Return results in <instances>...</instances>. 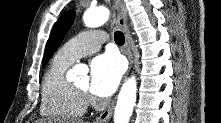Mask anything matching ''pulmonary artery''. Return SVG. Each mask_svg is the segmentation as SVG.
Segmentation results:
<instances>
[{
  "label": "pulmonary artery",
  "mask_w": 221,
  "mask_h": 123,
  "mask_svg": "<svg viewBox=\"0 0 221 123\" xmlns=\"http://www.w3.org/2000/svg\"><path fill=\"white\" fill-rule=\"evenodd\" d=\"M105 40V34L98 30L80 33L60 48L57 56L73 63L78 58L98 51Z\"/></svg>",
  "instance_id": "pulmonary-artery-1"
}]
</instances>
